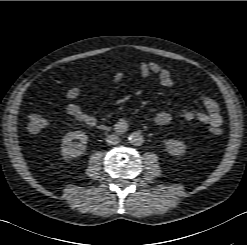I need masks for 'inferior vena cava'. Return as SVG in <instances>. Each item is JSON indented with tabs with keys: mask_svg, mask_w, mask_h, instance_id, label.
<instances>
[{
	"mask_svg": "<svg viewBox=\"0 0 247 245\" xmlns=\"http://www.w3.org/2000/svg\"><path fill=\"white\" fill-rule=\"evenodd\" d=\"M106 142L108 145H116L120 142V138L115 134L108 135L106 137Z\"/></svg>",
	"mask_w": 247,
	"mask_h": 245,
	"instance_id": "1",
	"label": "inferior vena cava"
}]
</instances>
